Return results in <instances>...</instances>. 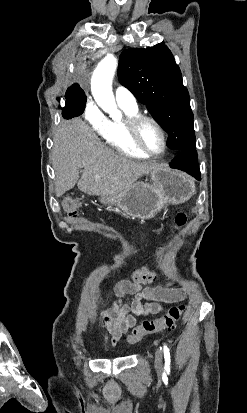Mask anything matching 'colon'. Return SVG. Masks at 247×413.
<instances>
[{
  "mask_svg": "<svg viewBox=\"0 0 247 413\" xmlns=\"http://www.w3.org/2000/svg\"><path fill=\"white\" fill-rule=\"evenodd\" d=\"M79 207V201L73 198H66L62 203L64 212L70 218L77 217ZM174 220L179 228H184L187 217L185 214H176ZM160 276V269L154 267L150 262L143 263L141 269H137L133 273L134 280L141 286L148 285L150 279L157 280ZM184 311L185 306L178 305L170 308L162 317L143 320L139 326L133 329L131 335L128 337V342L136 343L149 334L174 329L181 320Z\"/></svg>",
  "mask_w": 247,
  "mask_h": 413,
  "instance_id": "5ec220e1",
  "label": "colon"
}]
</instances>
